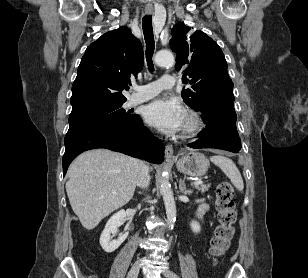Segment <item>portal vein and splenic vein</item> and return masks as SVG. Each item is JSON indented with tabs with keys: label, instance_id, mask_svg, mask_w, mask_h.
Here are the masks:
<instances>
[{
	"label": "portal vein and splenic vein",
	"instance_id": "portal-vein-and-splenic-vein-1",
	"mask_svg": "<svg viewBox=\"0 0 308 278\" xmlns=\"http://www.w3.org/2000/svg\"><path fill=\"white\" fill-rule=\"evenodd\" d=\"M203 184V181H195V182H192L191 185H195V186H198V185H202Z\"/></svg>",
	"mask_w": 308,
	"mask_h": 278
}]
</instances>
